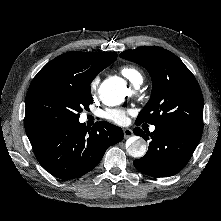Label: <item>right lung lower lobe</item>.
<instances>
[{"instance_id": "1", "label": "right lung lower lobe", "mask_w": 221, "mask_h": 221, "mask_svg": "<svg viewBox=\"0 0 221 221\" xmlns=\"http://www.w3.org/2000/svg\"><path fill=\"white\" fill-rule=\"evenodd\" d=\"M41 166L53 176L70 180L97 166L106 149L123 138L120 127L105 121L88 128L79 121L25 125Z\"/></svg>"}]
</instances>
